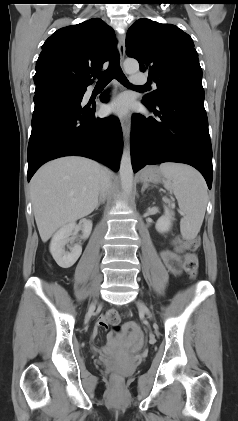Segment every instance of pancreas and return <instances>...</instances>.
Instances as JSON below:
<instances>
[{
    "label": "pancreas",
    "mask_w": 238,
    "mask_h": 421,
    "mask_svg": "<svg viewBox=\"0 0 238 421\" xmlns=\"http://www.w3.org/2000/svg\"><path fill=\"white\" fill-rule=\"evenodd\" d=\"M166 202L170 203V201L168 199H165Z\"/></svg>",
    "instance_id": "pancreas-1"
}]
</instances>
